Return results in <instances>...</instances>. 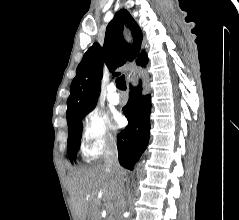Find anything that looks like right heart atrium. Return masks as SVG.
I'll return each mask as SVG.
<instances>
[{"instance_id":"right-heart-atrium-1","label":"right heart atrium","mask_w":239,"mask_h":220,"mask_svg":"<svg viewBox=\"0 0 239 220\" xmlns=\"http://www.w3.org/2000/svg\"><path fill=\"white\" fill-rule=\"evenodd\" d=\"M116 138L108 116L98 108L89 110L82 120L81 148L89 159H96L113 148Z\"/></svg>"}]
</instances>
